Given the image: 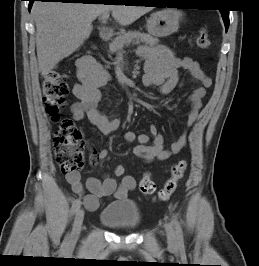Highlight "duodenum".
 I'll return each mask as SVG.
<instances>
[{"label": "duodenum", "mask_w": 259, "mask_h": 266, "mask_svg": "<svg viewBox=\"0 0 259 266\" xmlns=\"http://www.w3.org/2000/svg\"><path fill=\"white\" fill-rule=\"evenodd\" d=\"M113 33H112V30L110 28H103L101 31H100V38L103 40V41H108L111 39Z\"/></svg>", "instance_id": "1"}]
</instances>
